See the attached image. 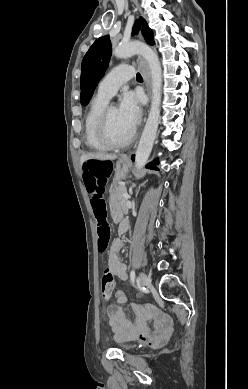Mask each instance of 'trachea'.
<instances>
[{
	"mask_svg": "<svg viewBox=\"0 0 248 389\" xmlns=\"http://www.w3.org/2000/svg\"><path fill=\"white\" fill-rule=\"evenodd\" d=\"M136 79H137V80H143V78H142V76H141V74H140V73H137V75H136Z\"/></svg>",
	"mask_w": 248,
	"mask_h": 389,
	"instance_id": "3493384b",
	"label": "trachea"
}]
</instances>
